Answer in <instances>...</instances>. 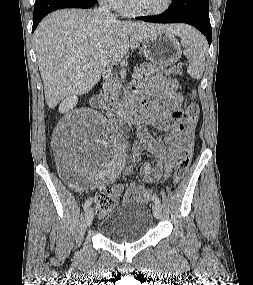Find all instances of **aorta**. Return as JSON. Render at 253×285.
<instances>
[{
    "instance_id": "obj_1",
    "label": "aorta",
    "mask_w": 253,
    "mask_h": 285,
    "mask_svg": "<svg viewBox=\"0 0 253 285\" xmlns=\"http://www.w3.org/2000/svg\"><path fill=\"white\" fill-rule=\"evenodd\" d=\"M117 114L123 120V118H124V111H123L122 105H120V104L118 105Z\"/></svg>"
}]
</instances>
